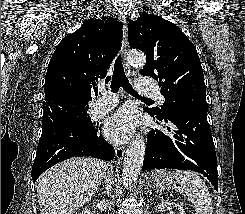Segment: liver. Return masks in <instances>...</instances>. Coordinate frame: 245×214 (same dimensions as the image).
<instances>
[{
  "instance_id": "obj_1",
  "label": "liver",
  "mask_w": 245,
  "mask_h": 214,
  "mask_svg": "<svg viewBox=\"0 0 245 214\" xmlns=\"http://www.w3.org/2000/svg\"><path fill=\"white\" fill-rule=\"evenodd\" d=\"M110 165L95 158H72L37 180L40 214H73L95 194Z\"/></svg>"
}]
</instances>
